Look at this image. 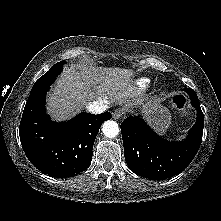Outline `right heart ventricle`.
Listing matches in <instances>:
<instances>
[{
    "mask_svg": "<svg viewBox=\"0 0 221 221\" xmlns=\"http://www.w3.org/2000/svg\"><path fill=\"white\" fill-rule=\"evenodd\" d=\"M150 80L148 78H140L135 81L132 90L133 91H142L148 87Z\"/></svg>",
    "mask_w": 221,
    "mask_h": 221,
    "instance_id": "e07e8e85",
    "label": "right heart ventricle"
}]
</instances>
